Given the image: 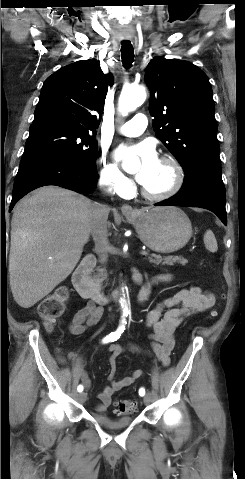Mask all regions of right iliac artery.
Listing matches in <instances>:
<instances>
[{
  "mask_svg": "<svg viewBox=\"0 0 245 479\" xmlns=\"http://www.w3.org/2000/svg\"><path fill=\"white\" fill-rule=\"evenodd\" d=\"M125 325H126V320L125 318H123L121 320V323L119 325V327L117 328V330L115 332H111L109 335H107L103 340L102 342L103 343H109V342H114L116 341L117 339L120 338L121 334L124 332L125 330ZM77 391L78 392H82L83 391V386L82 385H79L77 387Z\"/></svg>",
  "mask_w": 245,
  "mask_h": 479,
  "instance_id": "right-iliac-artery-1",
  "label": "right iliac artery"
}]
</instances>
